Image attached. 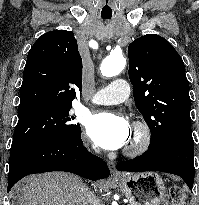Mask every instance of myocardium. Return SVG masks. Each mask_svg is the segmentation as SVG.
I'll use <instances>...</instances> for the list:
<instances>
[{"mask_svg":"<svg viewBox=\"0 0 199 205\" xmlns=\"http://www.w3.org/2000/svg\"><path fill=\"white\" fill-rule=\"evenodd\" d=\"M133 130L135 138L124 150L128 156H138L145 153L152 143V130L146 121H135Z\"/></svg>","mask_w":199,"mask_h":205,"instance_id":"obj_1","label":"myocardium"}]
</instances>
